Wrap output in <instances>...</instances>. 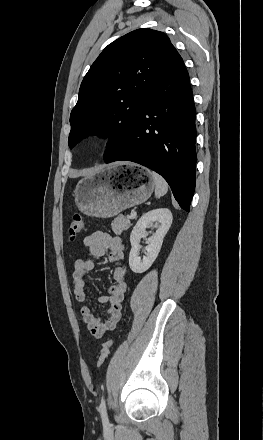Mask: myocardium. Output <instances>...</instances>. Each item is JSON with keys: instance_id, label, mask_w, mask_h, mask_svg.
<instances>
[{"instance_id": "obj_1", "label": "myocardium", "mask_w": 263, "mask_h": 440, "mask_svg": "<svg viewBox=\"0 0 263 440\" xmlns=\"http://www.w3.org/2000/svg\"><path fill=\"white\" fill-rule=\"evenodd\" d=\"M107 140L102 135H92L88 137L84 143V149L89 157H94L100 154L106 147Z\"/></svg>"}]
</instances>
